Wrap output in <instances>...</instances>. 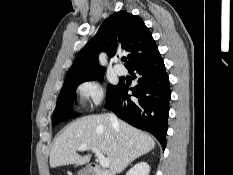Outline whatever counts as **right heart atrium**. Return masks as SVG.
<instances>
[{
	"instance_id": "1",
	"label": "right heart atrium",
	"mask_w": 233,
	"mask_h": 175,
	"mask_svg": "<svg viewBox=\"0 0 233 175\" xmlns=\"http://www.w3.org/2000/svg\"><path fill=\"white\" fill-rule=\"evenodd\" d=\"M80 99L92 106H98L104 98V88L98 80L88 79L77 87Z\"/></svg>"
}]
</instances>
